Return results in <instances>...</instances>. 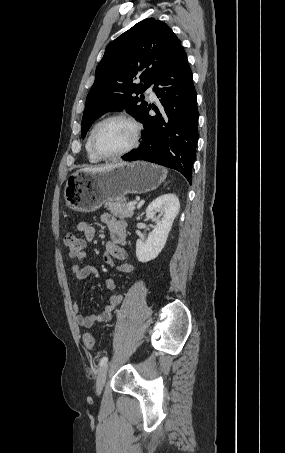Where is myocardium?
<instances>
[{
  "label": "myocardium",
  "mask_w": 285,
  "mask_h": 453,
  "mask_svg": "<svg viewBox=\"0 0 285 453\" xmlns=\"http://www.w3.org/2000/svg\"><path fill=\"white\" fill-rule=\"evenodd\" d=\"M114 119H122V120L129 122L134 129V138H133L132 143L124 150H122L118 153H115V154H109V155L103 154L98 150V148L96 146L97 133L103 124H105L106 122H108L110 120H114ZM142 130H143L142 124L131 114L126 113V112H116V113L110 114V115L106 116L105 118H103L102 120H100L93 128V131L91 134V141H90L92 152L101 160H113V159L121 158V157L129 154L130 152H132L134 149H136L139 146L141 137H142Z\"/></svg>",
  "instance_id": "f54148a6"
}]
</instances>
